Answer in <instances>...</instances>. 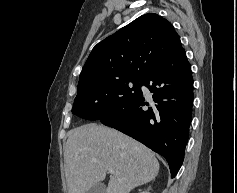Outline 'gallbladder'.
Returning a JSON list of instances; mask_svg holds the SVG:
<instances>
[{"mask_svg":"<svg viewBox=\"0 0 237 193\" xmlns=\"http://www.w3.org/2000/svg\"><path fill=\"white\" fill-rule=\"evenodd\" d=\"M86 193H106V187L102 183H96Z\"/></svg>","mask_w":237,"mask_h":193,"instance_id":"obj_1","label":"gallbladder"}]
</instances>
